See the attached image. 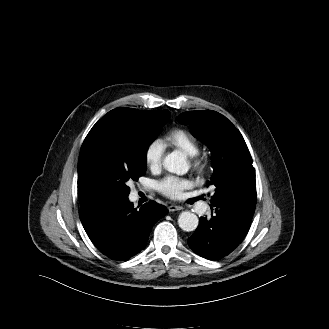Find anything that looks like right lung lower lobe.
<instances>
[{
  "mask_svg": "<svg viewBox=\"0 0 329 329\" xmlns=\"http://www.w3.org/2000/svg\"><path fill=\"white\" fill-rule=\"evenodd\" d=\"M167 212L154 201L137 210L128 198L105 196L82 205L79 215L90 240L104 255L126 260L145 248L153 225Z\"/></svg>",
  "mask_w": 329,
  "mask_h": 329,
  "instance_id": "1",
  "label": "right lung lower lobe"
}]
</instances>
